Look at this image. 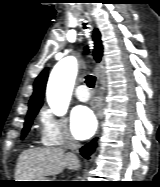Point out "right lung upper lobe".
I'll return each mask as SVG.
<instances>
[{
    "instance_id": "cb5924a9",
    "label": "right lung upper lobe",
    "mask_w": 160,
    "mask_h": 187,
    "mask_svg": "<svg viewBox=\"0 0 160 187\" xmlns=\"http://www.w3.org/2000/svg\"><path fill=\"white\" fill-rule=\"evenodd\" d=\"M100 37H101L100 32L97 29H95L93 33V39L95 41V49L93 54L97 62L101 60L102 53H103V47L101 44ZM47 78H48V69L45 68L35 80L34 92L29 101L28 112L39 110V108L42 106Z\"/></svg>"
}]
</instances>
